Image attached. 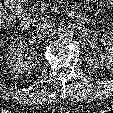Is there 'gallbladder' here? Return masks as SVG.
Here are the masks:
<instances>
[{
    "label": "gallbladder",
    "instance_id": "obj_1",
    "mask_svg": "<svg viewBox=\"0 0 113 113\" xmlns=\"http://www.w3.org/2000/svg\"><path fill=\"white\" fill-rule=\"evenodd\" d=\"M0 2H1V0H0ZM3 10V6H2V4L0 3V11H2Z\"/></svg>",
    "mask_w": 113,
    "mask_h": 113
}]
</instances>
